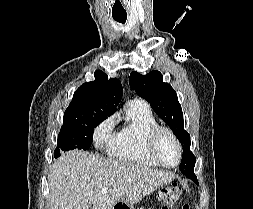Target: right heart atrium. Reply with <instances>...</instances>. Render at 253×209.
<instances>
[{"label":"right heart atrium","instance_id":"1","mask_svg":"<svg viewBox=\"0 0 253 209\" xmlns=\"http://www.w3.org/2000/svg\"><path fill=\"white\" fill-rule=\"evenodd\" d=\"M114 136L112 118L103 119L93 131V141L97 148H109Z\"/></svg>","mask_w":253,"mask_h":209}]
</instances>
